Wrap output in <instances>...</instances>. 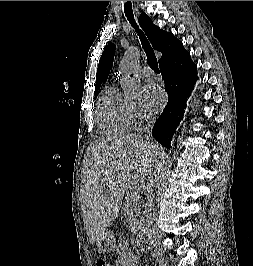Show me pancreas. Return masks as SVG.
<instances>
[{"label": "pancreas", "instance_id": "obj_1", "mask_svg": "<svg viewBox=\"0 0 253 266\" xmlns=\"http://www.w3.org/2000/svg\"><path fill=\"white\" fill-rule=\"evenodd\" d=\"M137 195H134V189L130 190L127 194L126 197V202H125V208L126 212L128 213L130 217V222L135 223L136 222V217L140 213L139 209V200H140V191L137 190Z\"/></svg>", "mask_w": 253, "mask_h": 266}]
</instances>
